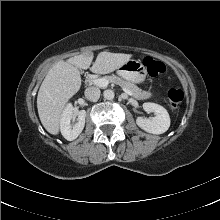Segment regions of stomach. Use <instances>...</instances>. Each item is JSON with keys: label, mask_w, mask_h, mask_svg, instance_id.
<instances>
[{"label": "stomach", "mask_w": 220, "mask_h": 220, "mask_svg": "<svg viewBox=\"0 0 220 220\" xmlns=\"http://www.w3.org/2000/svg\"><path fill=\"white\" fill-rule=\"evenodd\" d=\"M118 74L132 83H142L146 79L147 71L140 60L130 59L118 68Z\"/></svg>", "instance_id": "obj_1"}]
</instances>
